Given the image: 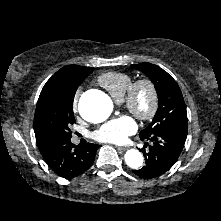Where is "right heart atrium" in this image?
Wrapping results in <instances>:
<instances>
[{
	"mask_svg": "<svg viewBox=\"0 0 221 221\" xmlns=\"http://www.w3.org/2000/svg\"><path fill=\"white\" fill-rule=\"evenodd\" d=\"M79 97H80V91H77L73 97V102H72L73 110L75 112L78 110Z\"/></svg>",
	"mask_w": 221,
	"mask_h": 221,
	"instance_id": "d8ad5b80",
	"label": "right heart atrium"
}]
</instances>
